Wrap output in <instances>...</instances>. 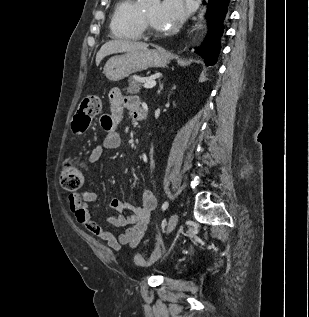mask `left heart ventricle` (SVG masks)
<instances>
[{
  "instance_id": "left-heart-ventricle-1",
  "label": "left heart ventricle",
  "mask_w": 309,
  "mask_h": 317,
  "mask_svg": "<svg viewBox=\"0 0 309 317\" xmlns=\"http://www.w3.org/2000/svg\"><path fill=\"white\" fill-rule=\"evenodd\" d=\"M159 4H155L151 6L150 8H147L144 10V13L146 17L148 18L149 22L151 25L158 31H162L163 29L161 28L159 22H158V13H159Z\"/></svg>"
}]
</instances>
